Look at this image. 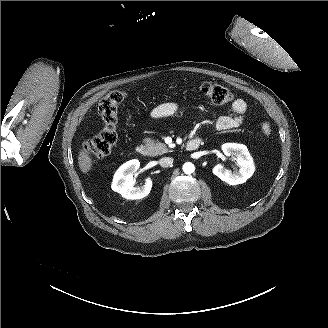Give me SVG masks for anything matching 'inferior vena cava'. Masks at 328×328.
Masks as SVG:
<instances>
[{"instance_id":"obj_1","label":"inferior vena cava","mask_w":328,"mask_h":328,"mask_svg":"<svg viewBox=\"0 0 328 328\" xmlns=\"http://www.w3.org/2000/svg\"><path fill=\"white\" fill-rule=\"evenodd\" d=\"M173 163V158L171 157H163L159 160V164L161 167H169Z\"/></svg>"}]
</instances>
